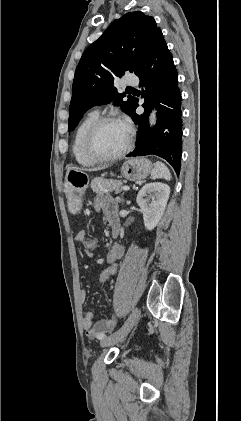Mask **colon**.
<instances>
[{"label":"colon","mask_w":241,"mask_h":421,"mask_svg":"<svg viewBox=\"0 0 241 421\" xmlns=\"http://www.w3.org/2000/svg\"><path fill=\"white\" fill-rule=\"evenodd\" d=\"M83 248L87 252L93 251L97 245H98V238L95 236L86 238V240L83 242ZM119 269V264L117 262L111 263L108 265L105 269L102 270L100 274V282L104 285H107L111 283L114 276L117 274Z\"/></svg>","instance_id":"5ec220e1"}]
</instances>
